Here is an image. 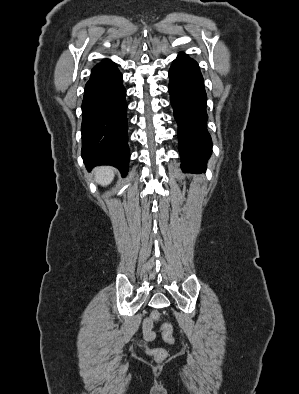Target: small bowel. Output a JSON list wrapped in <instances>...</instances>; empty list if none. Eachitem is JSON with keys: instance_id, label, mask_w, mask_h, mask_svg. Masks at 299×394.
<instances>
[{"instance_id": "obj_1", "label": "small bowel", "mask_w": 299, "mask_h": 394, "mask_svg": "<svg viewBox=\"0 0 299 394\" xmlns=\"http://www.w3.org/2000/svg\"><path fill=\"white\" fill-rule=\"evenodd\" d=\"M143 334L147 341H153L155 339V333L153 331V322L150 318H146L143 323Z\"/></svg>"}]
</instances>
